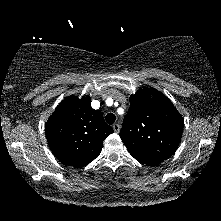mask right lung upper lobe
Here are the masks:
<instances>
[{"instance_id": "cb5924a9", "label": "right lung upper lobe", "mask_w": 221, "mask_h": 221, "mask_svg": "<svg viewBox=\"0 0 221 221\" xmlns=\"http://www.w3.org/2000/svg\"><path fill=\"white\" fill-rule=\"evenodd\" d=\"M48 144L63 164L81 167L101 152L103 140L113 129L99 110L91 107L89 96L65 98L45 127Z\"/></svg>"}]
</instances>
